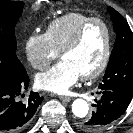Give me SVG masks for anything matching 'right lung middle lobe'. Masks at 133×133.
Returning <instances> with one entry per match:
<instances>
[{
    "mask_svg": "<svg viewBox=\"0 0 133 133\" xmlns=\"http://www.w3.org/2000/svg\"><path fill=\"white\" fill-rule=\"evenodd\" d=\"M24 2L0 0V81L14 76L22 67L16 56L15 25Z\"/></svg>",
    "mask_w": 133,
    "mask_h": 133,
    "instance_id": "obj_1",
    "label": "right lung middle lobe"
}]
</instances>
